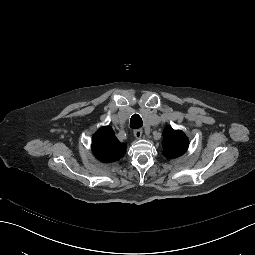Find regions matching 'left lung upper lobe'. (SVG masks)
<instances>
[{
    "mask_svg": "<svg viewBox=\"0 0 255 255\" xmlns=\"http://www.w3.org/2000/svg\"><path fill=\"white\" fill-rule=\"evenodd\" d=\"M163 155L168 158H176L184 154L188 148V138L180 130H174L167 126L163 132Z\"/></svg>",
    "mask_w": 255,
    "mask_h": 255,
    "instance_id": "1",
    "label": "left lung upper lobe"
}]
</instances>
